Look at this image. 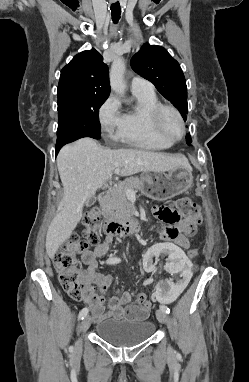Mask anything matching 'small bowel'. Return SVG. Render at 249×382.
<instances>
[{"instance_id":"small-bowel-1","label":"small bowel","mask_w":249,"mask_h":382,"mask_svg":"<svg viewBox=\"0 0 249 382\" xmlns=\"http://www.w3.org/2000/svg\"><path fill=\"white\" fill-rule=\"evenodd\" d=\"M165 208L164 206H156L154 208V213L158 219L169 224L164 232L165 237L168 240L175 241L176 245H180L181 250L188 248L189 238L195 235L199 220L193 217L182 216L174 210L169 211V216L166 217L163 215ZM114 240L115 236L106 234L103 242L94 249H88L82 253L81 260L87 266V270L81 272L82 280L87 287L86 295L82 300L90 307L93 318L98 321L107 317L117 319L128 318L137 321L146 320L151 309L149 302L146 305H129L131 294L124 292L120 296L115 295L111 297L108 310H106L103 294H97L94 291V288H97L103 293L112 282L110 275L97 273L96 270L98 268V259L107 254ZM150 282L151 279L147 280L145 284Z\"/></svg>"}]
</instances>
